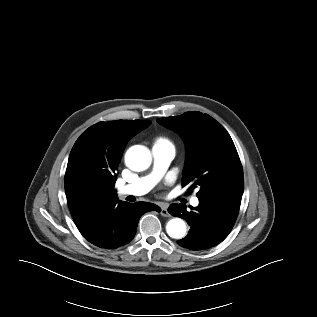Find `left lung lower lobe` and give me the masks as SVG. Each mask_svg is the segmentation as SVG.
<instances>
[{
	"label": "left lung lower lobe",
	"mask_w": 317,
	"mask_h": 317,
	"mask_svg": "<svg viewBox=\"0 0 317 317\" xmlns=\"http://www.w3.org/2000/svg\"><path fill=\"white\" fill-rule=\"evenodd\" d=\"M241 195H213L199 197L197 207L172 204L168 212L191 225L188 235L177 243L191 250H204L222 242L233 228L240 204Z\"/></svg>",
	"instance_id": "1"
}]
</instances>
